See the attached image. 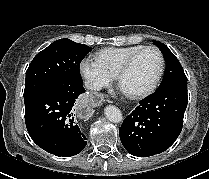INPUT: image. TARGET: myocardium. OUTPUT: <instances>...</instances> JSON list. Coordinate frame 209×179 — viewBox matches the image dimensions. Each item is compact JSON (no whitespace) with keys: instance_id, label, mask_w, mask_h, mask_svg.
I'll return each instance as SVG.
<instances>
[{"instance_id":"obj_1","label":"myocardium","mask_w":209,"mask_h":179,"mask_svg":"<svg viewBox=\"0 0 209 179\" xmlns=\"http://www.w3.org/2000/svg\"><path fill=\"white\" fill-rule=\"evenodd\" d=\"M148 50H153L158 54L159 59H160L159 71H158V74L155 77L154 81L146 89L136 92V93H126V95L132 99L145 98V97L149 96L150 94H152L156 90V88L158 87V85L163 77L164 71H165V57H164L162 51L156 46H145V47L141 48L140 50H138L137 52L132 54L123 63V65L120 67V69L118 70V72L115 76L116 83H117L118 87L121 88V81H122L123 77L125 76V74L130 70V68L132 67L134 62L137 60V58L142 53H144L145 51H148Z\"/></svg>"}]
</instances>
